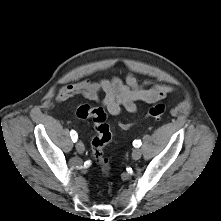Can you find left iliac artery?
Here are the masks:
<instances>
[{
	"instance_id": "left-iliac-artery-1",
	"label": "left iliac artery",
	"mask_w": 221,
	"mask_h": 221,
	"mask_svg": "<svg viewBox=\"0 0 221 221\" xmlns=\"http://www.w3.org/2000/svg\"><path fill=\"white\" fill-rule=\"evenodd\" d=\"M141 140H135L134 142H133V146H135V147H140L141 146Z\"/></svg>"
}]
</instances>
